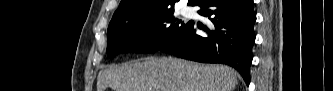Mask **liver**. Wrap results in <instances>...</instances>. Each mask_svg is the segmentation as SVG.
<instances>
[{"instance_id":"1","label":"liver","mask_w":333,"mask_h":91,"mask_svg":"<svg viewBox=\"0 0 333 91\" xmlns=\"http://www.w3.org/2000/svg\"><path fill=\"white\" fill-rule=\"evenodd\" d=\"M237 84L228 66L161 57L101 70L97 91H233Z\"/></svg>"}]
</instances>
